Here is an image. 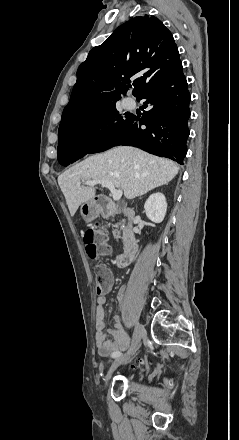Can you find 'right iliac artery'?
Listing matches in <instances>:
<instances>
[{
  "instance_id": "82829eb1",
  "label": "right iliac artery",
  "mask_w": 239,
  "mask_h": 440,
  "mask_svg": "<svg viewBox=\"0 0 239 440\" xmlns=\"http://www.w3.org/2000/svg\"><path fill=\"white\" fill-rule=\"evenodd\" d=\"M122 354L120 353V352H114L112 355H111V357H113V358H118V357H120Z\"/></svg>"
}]
</instances>
